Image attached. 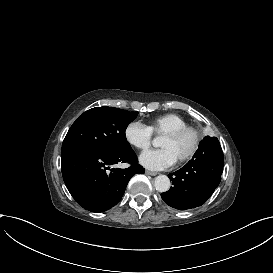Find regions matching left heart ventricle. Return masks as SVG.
Listing matches in <instances>:
<instances>
[{
    "label": "left heart ventricle",
    "mask_w": 273,
    "mask_h": 273,
    "mask_svg": "<svg viewBox=\"0 0 273 273\" xmlns=\"http://www.w3.org/2000/svg\"><path fill=\"white\" fill-rule=\"evenodd\" d=\"M191 143L192 136L190 133L177 137L161 136L159 139V146L169 149L177 161L188 152Z\"/></svg>",
    "instance_id": "obj_1"
}]
</instances>
